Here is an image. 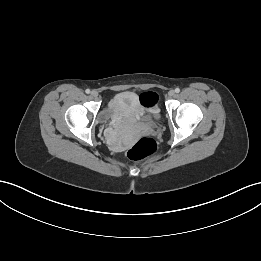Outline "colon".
I'll use <instances>...</instances> for the list:
<instances>
[{
  "label": "colon",
  "mask_w": 261,
  "mask_h": 261,
  "mask_svg": "<svg viewBox=\"0 0 261 261\" xmlns=\"http://www.w3.org/2000/svg\"><path fill=\"white\" fill-rule=\"evenodd\" d=\"M162 102L161 95L156 91H144L138 96L139 107L145 112L148 120H159L162 117L158 106ZM157 151L154 139L143 137L139 139L127 152L131 160L138 161L152 157Z\"/></svg>",
  "instance_id": "1"
}]
</instances>
